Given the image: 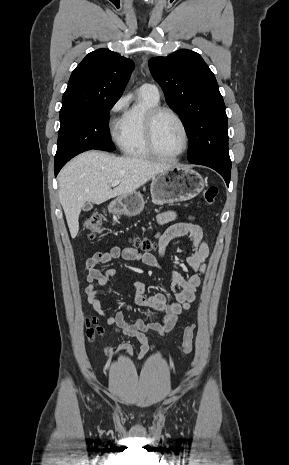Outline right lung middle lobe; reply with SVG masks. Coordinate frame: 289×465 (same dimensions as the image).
Instances as JSON below:
<instances>
[{
    "instance_id": "right-lung-middle-lobe-1",
    "label": "right lung middle lobe",
    "mask_w": 289,
    "mask_h": 465,
    "mask_svg": "<svg viewBox=\"0 0 289 465\" xmlns=\"http://www.w3.org/2000/svg\"><path fill=\"white\" fill-rule=\"evenodd\" d=\"M117 100L100 102L82 109L60 111L61 125L55 162L70 160L91 149L112 151L108 115Z\"/></svg>"
}]
</instances>
